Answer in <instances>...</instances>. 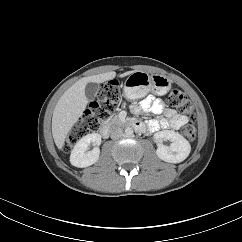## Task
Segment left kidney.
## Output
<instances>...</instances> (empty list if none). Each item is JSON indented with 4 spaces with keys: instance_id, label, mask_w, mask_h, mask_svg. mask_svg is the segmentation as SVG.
<instances>
[{
    "instance_id": "left-kidney-1",
    "label": "left kidney",
    "mask_w": 242,
    "mask_h": 242,
    "mask_svg": "<svg viewBox=\"0 0 242 242\" xmlns=\"http://www.w3.org/2000/svg\"><path fill=\"white\" fill-rule=\"evenodd\" d=\"M154 141L157 143V156L166 162L180 163L189 156L191 151L188 140L173 130L155 133ZM163 141H170V146L163 145Z\"/></svg>"
}]
</instances>
